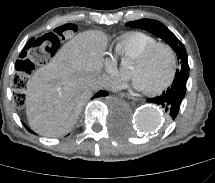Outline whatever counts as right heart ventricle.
<instances>
[{
    "label": "right heart ventricle",
    "mask_w": 215,
    "mask_h": 183,
    "mask_svg": "<svg viewBox=\"0 0 215 183\" xmlns=\"http://www.w3.org/2000/svg\"><path fill=\"white\" fill-rule=\"evenodd\" d=\"M159 43V40L143 31H130L122 35L116 43V53L125 59H134L145 49Z\"/></svg>",
    "instance_id": "e07e8e85"
}]
</instances>
